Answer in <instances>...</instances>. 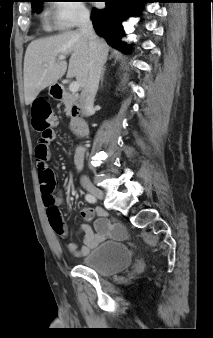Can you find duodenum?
<instances>
[{
  "label": "duodenum",
  "mask_w": 213,
  "mask_h": 338,
  "mask_svg": "<svg viewBox=\"0 0 213 338\" xmlns=\"http://www.w3.org/2000/svg\"><path fill=\"white\" fill-rule=\"evenodd\" d=\"M52 95L55 100L65 99L71 104L72 126L84 136L87 133V123L81 116L82 107L79 96L72 94L62 85H55L52 88Z\"/></svg>",
  "instance_id": "410a0bca"
}]
</instances>
